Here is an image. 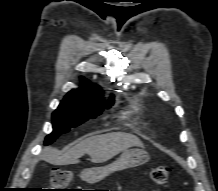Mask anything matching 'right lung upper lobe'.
<instances>
[{
    "label": "right lung upper lobe",
    "instance_id": "obj_1",
    "mask_svg": "<svg viewBox=\"0 0 218 191\" xmlns=\"http://www.w3.org/2000/svg\"><path fill=\"white\" fill-rule=\"evenodd\" d=\"M81 81L83 86L78 90L70 91L67 96L85 99H102V90L99 86L92 85L83 77H81ZM111 98H113V96H111Z\"/></svg>",
    "mask_w": 218,
    "mask_h": 191
}]
</instances>
